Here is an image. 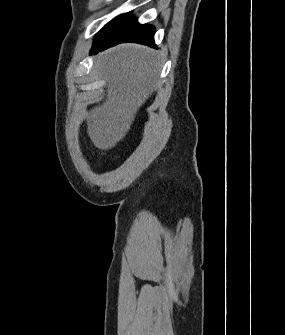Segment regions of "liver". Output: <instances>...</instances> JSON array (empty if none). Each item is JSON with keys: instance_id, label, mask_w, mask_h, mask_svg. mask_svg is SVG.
I'll list each match as a JSON object with an SVG mask.
<instances>
[{"instance_id": "liver-1", "label": "liver", "mask_w": 285, "mask_h": 335, "mask_svg": "<svg viewBox=\"0 0 285 335\" xmlns=\"http://www.w3.org/2000/svg\"><path fill=\"white\" fill-rule=\"evenodd\" d=\"M108 84L107 100L88 114V136L99 150H111L123 140L144 102L160 80L161 64L154 50L121 44L97 56Z\"/></svg>"}]
</instances>
